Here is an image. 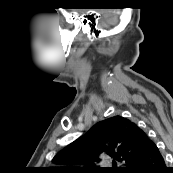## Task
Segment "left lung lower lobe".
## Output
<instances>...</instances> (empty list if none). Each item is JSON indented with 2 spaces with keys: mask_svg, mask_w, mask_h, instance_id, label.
<instances>
[{
  "mask_svg": "<svg viewBox=\"0 0 173 173\" xmlns=\"http://www.w3.org/2000/svg\"><path fill=\"white\" fill-rule=\"evenodd\" d=\"M168 169L158 147L145 134V146L135 156L126 173H168Z\"/></svg>",
  "mask_w": 173,
  "mask_h": 173,
  "instance_id": "obj_1",
  "label": "left lung lower lobe"
}]
</instances>
